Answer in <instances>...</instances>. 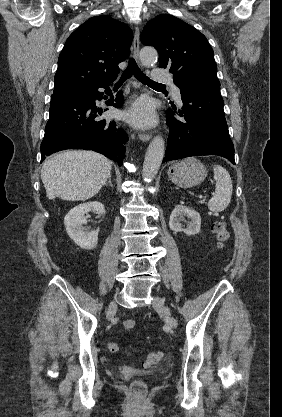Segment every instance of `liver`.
I'll return each instance as SVG.
<instances>
[{
    "instance_id": "obj_1",
    "label": "liver",
    "mask_w": 282,
    "mask_h": 417,
    "mask_svg": "<svg viewBox=\"0 0 282 417\" xmlns=\"http://www.w3.org/2000/svg\"><path fill=\"white\" fill-rule=\"evenodd\" d=\"M112 162L93 150H63L43 162L42 182L48 198L87 200L111 176Z\"/></svg>"
}]
</instances>
